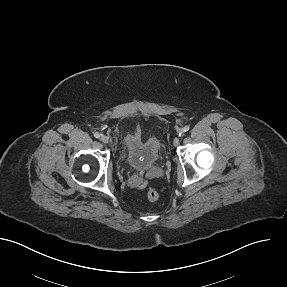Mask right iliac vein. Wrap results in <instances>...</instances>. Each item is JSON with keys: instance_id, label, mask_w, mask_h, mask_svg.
Returning a JSON list of instances; mask_svg holds the SVG:
<instances>
[{"instance_id": "1", "label": "right iliac vein", "mask_w": 287, "mask_h": 287, "mask_svg": "<svg viewBox=\"0 0 287 287\" xmlns=\"http://www.w3.org/2000/svg\"><path fill=\"white\" fill-rule=\"evenodd\" d=\"M100 140L103 142V143H105V144H107V143H109V137L108 136H106V135H102L101 137H100Z\"/></svg>"}]
</instances>
